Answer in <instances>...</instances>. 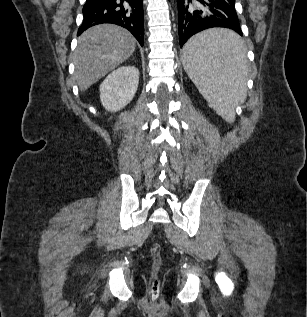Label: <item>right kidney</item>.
<instances>
[{
    "label": "right kidney",
    "mask_w": 307,
    "mask_h": 317,
    "mask_svg": "<svg viewBox=\"0 0 307 317\" xmlns=\"http://www.w3.org/2000/svg\"><path fill=\"white\" fill-rule=\"evenodd\" d=\"M139 83V70L135 66H122L101 83L100 100L110 112L123 109L133 99Z\"/></svg>",
    "instance_id": "obj_1"
}]
</instances>
